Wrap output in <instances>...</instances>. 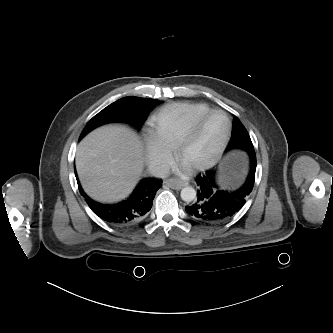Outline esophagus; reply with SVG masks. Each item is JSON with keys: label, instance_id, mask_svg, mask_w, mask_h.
I'll return each instance as SVG.
<instances>
[{"label": "esophagus", "instance_id": "34e87169", "mask_svg": "<svg viewBox=\"0 0 333 333\" xmlns=\"http://www.w3.org/2000/svg\"><path fill=\"white\" fill-rule=\"evenodd\" d=\"M165 184L174 190H180L182 187L187 185L184 181L174 179L167 180Z\"/></svg>", "mask_w": 333, "mask_h": 333}]
</instances>
